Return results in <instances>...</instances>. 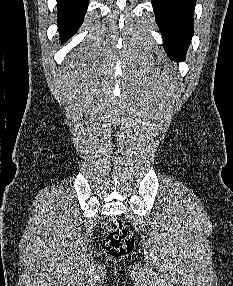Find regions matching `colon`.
I'll return each instance as SVG.
<instances>
[{
  "label": "colon",
  "instance_id": "5ec220e1",
  "mask_svg": "<svg viewBox=\"0 0 233 286\" xmlns=\"http://www.w3.org/2000/svg\"><path fill=\"white\" fill-rule=\"evenodd\" d=\"M107 236L103 242L104 252L112 257L128 253L134 244L131 231L119 218H112L107 224Z\"/></svg>",
  "mask_w": 233,
  "mask_h": 286
}]
</instances>
